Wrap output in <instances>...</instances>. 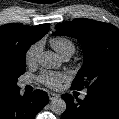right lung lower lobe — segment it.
I'll return each instance as SVG.
<instances>
[{"instance_id":"98d812e1","label":"right lung lower lobe","mask_w":119,"mask_h":119,"mask_svg":"<svg viewBox=\"0 0 119 119\" xmlns=\"http://www.w3.org/2000/svg\"><path fill=\"white\" fill-rule=\"evenodd\" d=\"M48 103V95L42 90L20 95L19 90L0 105V119H34Z\"/></svg>"}]
</instances>
